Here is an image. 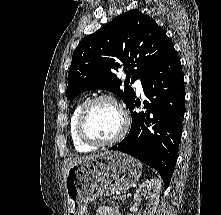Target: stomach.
I'll return each instance as SVG.
<instances>
[{"mask_svg":"<svg viewBox=\"0 0 221 215\" xmlns=\"http://www.w3.org/2000/svg\"><path fill=\"white\" fill-rule=\"evenodd\" d=\"M141 167L136 159L116 151L73 164L65 177L68 215H88L87 206L97 197L129 189L140 179Z\"/></svg>","mask_w":221,"mask_h":215,"instance_id":"stomach-1","label":"stomach"}]
</instances>
